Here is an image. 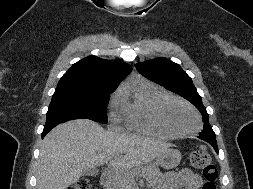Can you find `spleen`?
Masks as SVG:
<instances>
[{
    "label": "spleen",
    "instance_id": "1",
    "mask_svg": "<svg viewBox=\"0 0 253 189\" xmlns=\"http://www.w3.org/2000/svg\"><path fill=\"white\" fill-rule=\"evenodd\" d=\"M201 149H204V150H205V149H206V147L202 145V146H201Z\"/></svg>",
    "mask_w": 253,
    "mask_h": 189
}]
</instances>
